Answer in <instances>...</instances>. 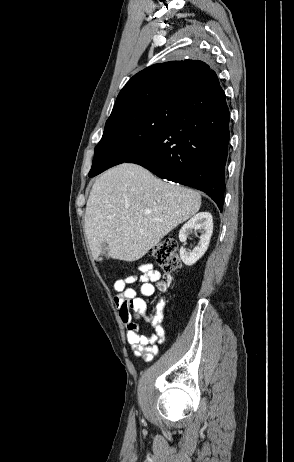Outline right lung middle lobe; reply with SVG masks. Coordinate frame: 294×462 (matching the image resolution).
<instances>
[{
    "label": "right lung middle lobe",
    "mask_w": 294,
    "mask_h": 462,
    "mask_svg": "<svg viewBox=\"0 0 294 462\" xmlns=\"http://www.w3.org/2000/svg\"><path fill=\"white\" fill-rule=\"evenodd\" d=\"M186 98L169 93L140 101L111 113L95 147L91 172L97 174L125 162L144 143L162 131L180 112Z\"/></svg>",
    "instance_id": "dd1d6c3e"
}]
</instances>
